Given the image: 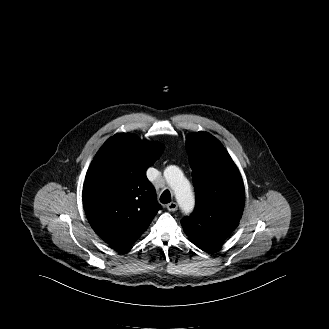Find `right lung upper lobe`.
<instances>
[{
  "mask_svg": "<svg viewBox=\"0 0 329 329\" xmlns=\"http://www.w3.org/2000/svg\"><path fill=\"white\" fill-rule=\"evenodd\" d=\"M161 153L160 144L116 134L88 169L82 194L85 213L93 230L115 250H128L161 208L146 177Z\"/></svg>",
  "mask_w": 329,
  "mask_h": 329,
  "instance_id": "1",
  "label": "right lung upper lobe"
}]
</instances>
